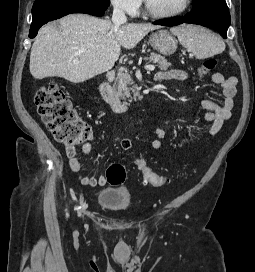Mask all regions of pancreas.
I'll return each instance as SVG.
<instances>
[{
    "instance_id": "cf45deb5",
    "label": "pancreas",
    "mask_w": 255,
    "mask_h": 272,
    "mask_svg": "<svg viewBox=\"0 0 255 272\" xmlns=\"http://www.w3.org/2000/svg\"><path fill=\"white\" fill-rule=\"evenodd\" d=\"M144 60L158 63V66L161 70H167L169 67H171V63L160 54L151 53L150 56L144 57ZM113 88L117 91L118 95L123 100H128L131 102L137 97L139 99L141 98L139 93L140 88L134 83L132 76L127 71H120L117 74Z\"/></svg>"
}]
</instances>
